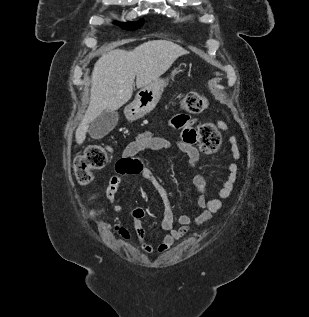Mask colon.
Returning <instances> with one entry per match:
<instances>
[{
    "label": "colon",
    "mask_w": 309,
    "mask_h": 317,
    "mask_svg": "<svg viewBox=\"0 0 309 317\" xmlns=\"http://www.w3.org/2000/svg\"><path fill=\"white\" fill-rule=\"evenodd\" d=\"M181 108L192 114L204 112L208 107L206 97L197 92L186 93L181 99ZM200 148L203 152L214 153L221 143V136L213 123L204 122L198 127ZM109 147L101 144L87 146L84 153L75 159L74 171L77 180L82 185L92 181V172L103 168L107 162Z\"/></svg>",
    "instance_id": "5ec220e1"
}]
</instances>
